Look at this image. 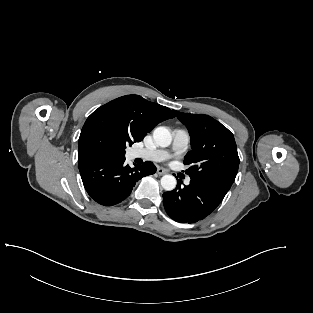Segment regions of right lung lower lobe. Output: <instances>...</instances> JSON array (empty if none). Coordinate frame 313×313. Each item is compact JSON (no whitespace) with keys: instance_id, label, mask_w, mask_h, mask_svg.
<instances>
[{"instance_id":"98d812e1","label":"right lung lower lobe","mask_w":313,"mask_h":313,"mask_svg":"<svg viewBox=\"0 0 313 313\" xmlns=\"http://www.w3.org/2000/svg\"><path fill=\"white\" fill-rule=\"evenodd\" d=\"M83 185L90 197L104 206H112L126 199L136 182L154 174L151 162L131 168L122 158H97L79 164Z\"/></svg>"}]
</instances>
